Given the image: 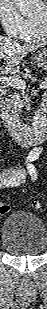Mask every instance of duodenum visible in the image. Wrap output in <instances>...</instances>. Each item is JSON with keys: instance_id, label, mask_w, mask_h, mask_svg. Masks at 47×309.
<instances>
[{"instance_id": "obj_1", "label": "duodenum", "mask_w": 47, "mask_h": 309, "mask_svg": "<svg viewBox=\"0 0 47 309\" xmlns=\"http://www.w3.org/2000/svg\"><path fill=\"white\" fill-rule=\"evenodd\" d=\"M3 121L13 138L24 146H33L41 143L46 132L45 115L38 113L33 126L19 122L12 113L11 104L6 102L2 112Z\"/></svg>"}]
</instances>
